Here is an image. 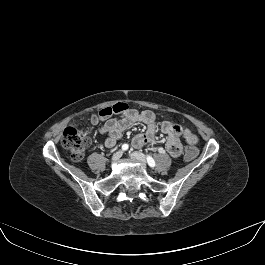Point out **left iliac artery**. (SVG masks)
Listing matches in <instances>:
<instances>
[{
	"label": "left iliac artery",
	"mask_w": 265,
	"mask_h": 265,
	"mask_svg": "<svg viewBox=\"0 0 265 265\" xmlns=\"http://www.w3.org/2000/svg\"><path fill=\"white\" fill-rule=\"evenodd\" d=\"M147 162L150 167H155V161L151 156H147Z\"/></svg>",
	"instance_id": "left-iliac-artery-1"
}]
</instances>
